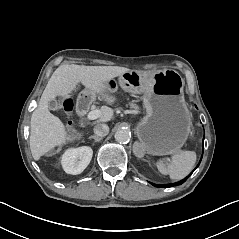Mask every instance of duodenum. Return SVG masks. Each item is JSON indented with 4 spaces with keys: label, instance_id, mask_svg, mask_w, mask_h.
<instances>
[{
    "label": "duodenum",
    "instance_id": "duodenum-1",
    "mask_svg": "<svg viewBox=\"0 0 239 239\" xmlns=\"http://www.w3.org/2000/svg\"><path fill=\"white\" fill-rule=\"evenodd\" d=\"M91 101L88 96H82L77 102V111L81 116H85L90 108Z\"/></svg>",
    "mask_w": 239,
    "mask_h": 239
}]
</instances>
